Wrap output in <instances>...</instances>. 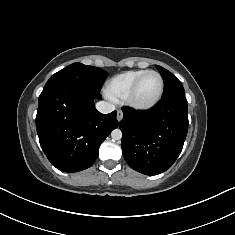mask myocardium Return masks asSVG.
<instances>
[{"label":"myocardium","instance_id":"1","mask_svg":"<svg viewBox=\"0 0 235 235\" xmlns=\"http://www.w3.org/2000/svg\"><path fill=\"white\" fill-rule=\"evenodd\" d=\"M153 73L155 75H157V77L159 78L160 81V89L158 92V95L156 96V98L154 100H152L151 102L148 103H137L134 100V95L136 93L137 87L140 84L141 80L147 75ZM164 93V80L161 76V74L155 70H146L144 73H142L131 85L130 89L128 90L127 94L124 97V103L131 108L134 111H139V112H143V111H147L152 109L153 107H155L161 100L162 96Z\"/></svg>","mask_w":235,"mask_h":235}]
</instances>
